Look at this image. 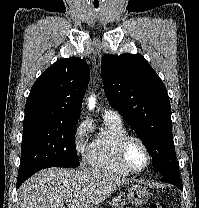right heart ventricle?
<instances>
[{
	"label": "right heart ventricle",
	"mask_w": 199,
	"mask_h": 208,
	"mask_svg": "<svg viewBox=\"0 0 199 208\" xmlns=\"http://www.w3.org/2000/svg\"><path fill=\"white\" fill-rule=\"evenodd\" d=\"M121 120L103 117V125L94 136L87 157L89 165L96 170L118 175H129L119 162L117 150L119 142L128 135Z\"/></svg>",
	"instance_id": "e07e8e85"
}]
</instances>
